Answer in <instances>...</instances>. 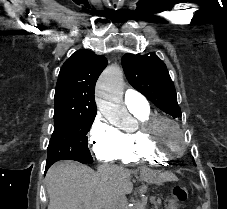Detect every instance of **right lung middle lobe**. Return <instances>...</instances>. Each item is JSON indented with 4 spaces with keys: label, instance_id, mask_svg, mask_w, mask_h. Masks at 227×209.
Segmentation results:
<instances>
[{
    "label": "right lung middle lobe",
    "instance_id": "1",
    "mask_svg": "<svg viewBox=\"0 0 227 209\" xmlns=\"http://www.w3.org/2000/svg\"><path fill=\"white\" fill-rule=\"evenodd\" d=\"M95 116L96 114H54L55 126L47 149L46 169L59 160L93 162L86 134Z\"/></svg>",
    "mask_w": 227,
    "mask_h": 209
}]
</instances>
